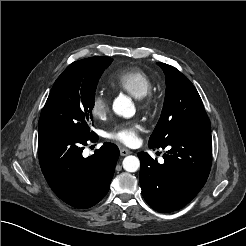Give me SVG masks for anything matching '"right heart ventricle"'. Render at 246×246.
<instances>
[{"label":"right heart ventricle","instance_id":"1","mask_svg":"<svg viewBox=\"0 0 246 246\" xmlns=\"http://www.w3.org/2000/svg\"><path fill=\"white\" fill-rule=\"evenodd\" d=\"M111 86L141 99L151 92L153 81L151 77L139 68H126L115 72L110 80Z\"/></svg>","mask_w":246,"mask_h":246}]
</instances>
